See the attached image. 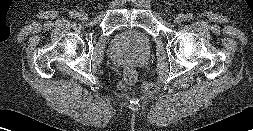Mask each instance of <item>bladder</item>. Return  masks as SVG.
Masks as SVG:
<instances>
[{
	"label": "bladder",
	"instance_id": "1",
	"mask_svg": "<svg viewBox=\"0 0 253 131\" xmlns=\"http://www.w3.org/2000/svg\"><path fill=\"white\" fill-rule=\"evenodd\" d=\"M150 41V38L146 36V42L148 43Z\"/></svg>",
	"mask_w": 253,
	"mask_h": 131
}]
</instances>
